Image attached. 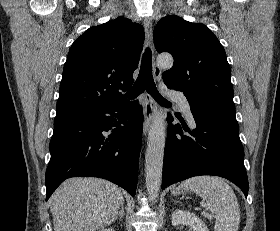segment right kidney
Returning <instances> with one entry per match:
<instances>
[{"label": "right kidney", "mask_w": 280, "mask_h": 231, "mask_svg": "<svg viewBox=\"0 0 280 231\" xmlns=\"http://www.w3.org/2000/svg\"><path fill=\"white\" fill-rule=\"evenodd\" d=\"M101 231H115V229H112V227H108V229H101Z\"/></svg>", "instance_id": "right-kidney-1"}]
</instances>
